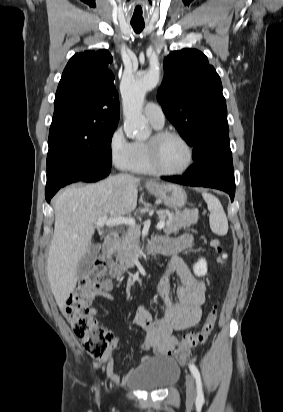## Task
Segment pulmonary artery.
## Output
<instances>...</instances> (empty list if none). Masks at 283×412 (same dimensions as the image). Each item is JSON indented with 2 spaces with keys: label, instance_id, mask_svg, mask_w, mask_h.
Returning a JSON list of instances; mask_svg holds the SVG:
<instances>
[{
  "label": "pulmonary artery",
  "instance_id": "obj_1",
  "mask_svg": "<svg viewBox=\"0 0 283 412\" xmlns=\"http://www.w3.org/2000/svg\"><path fill=\"white\" fill-rule=\"evenodd\" d=\"M147 120L157 128H162L165 123V115L161 106L156 102H149L144 108Z\"/></svg>",
  "mask_w": 283,
  "mask_h": 412
}]
</instances>
